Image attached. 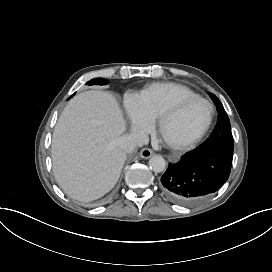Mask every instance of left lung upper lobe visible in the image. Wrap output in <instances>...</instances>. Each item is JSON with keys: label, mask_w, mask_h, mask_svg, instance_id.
Masks as SVG:
<instances>
[{"label": "left lung upper lobe", "mask_w": 272, "mask_h": 272, "mask_svg": "<svg viewBox=\"0 0 272 272\" xmlns=\"http://www.w3.org/2000/svg\"><path fill=\"white\" fill-rule=\"evenodd\" d=\"M210 97L215 103L217 111L219 113L218 124L212 136L203 145H201L199 149L223 148L233 151L234 142L231 134L230 121L227 116V113L224 110V107L219 101V99L214 94L210 93Z\"/></svg>", "instance_id": "obj_1"}]
</instances>
